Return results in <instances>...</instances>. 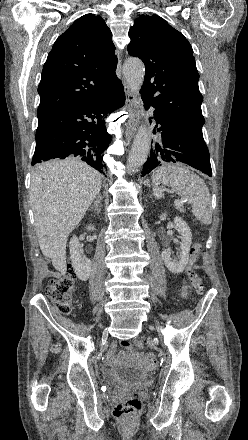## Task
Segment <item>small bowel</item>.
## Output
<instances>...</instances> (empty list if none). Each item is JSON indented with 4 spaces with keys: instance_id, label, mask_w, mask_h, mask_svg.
Returning a JSON list of instances; mask_svg holds the SVG:
<instances>
[{
    "instance_id": "obj_1",
    "label": "small bowel",
    "mask_w": 248,
    "mask_h": 440,
    "mask_svg": "<svg viewBox=\"0 0 248 440\" xmlns=\"http://www.w3.org/2000/svg\"><path fill=\"white\" fill-rule=\"evenodd\" d=\"M183 294H184V292H183ZM120 345H121V347H124V348L130 347V345H131L130 338H121ZM116 350H117V343L113 342L110 349H109L108 355H107V360L109 363L114 364L117 362ZM138 358L141 360H146V357H144L142 355L138 356Z\"/></svg>"
}]
</instances>
